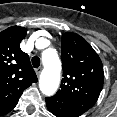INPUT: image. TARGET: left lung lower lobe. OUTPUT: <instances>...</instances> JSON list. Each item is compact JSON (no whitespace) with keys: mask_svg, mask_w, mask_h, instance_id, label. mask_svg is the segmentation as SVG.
Wrapping results in <instances>:
<instances>
[{"mask_svg":"<svg viewBox=\"0 0 117 117\" xmlns=\"http://www.w3.org/2000/svg\"><path fill=\"white\" fill-rule=\"evenodd\" d=\"M48 110L57 117H78L83 114L76 107L55 97H46Z\"/></svg>","mask_w":117,"mask_h":117,"instance_id":"1","label":"left lung lower lobe"}]
</instances>
